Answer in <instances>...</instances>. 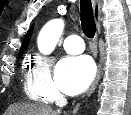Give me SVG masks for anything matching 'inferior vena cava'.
I'll return each mask as SVG.
<instances>
[{
    "label": "inferior vena cava",
    "instance_id": "obj_1",
    "mask_svg": "<svg viewBox=\"0 0 131 115\" xmlns=\"http://www.w3.org/2000/svg\"><path fill=\"white\" fill-rule=\"evenodd\" d=\"M55 103L59 107L58 112H60V108H63L67 104V100L62 94H58L55 97Z\"/></svg>",
    "mask_w": 131,
    "mask_h": 115
}]
</instances>
